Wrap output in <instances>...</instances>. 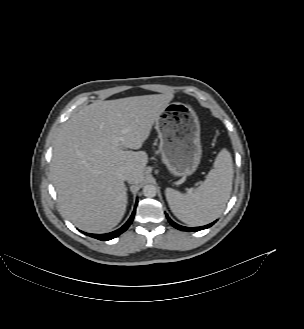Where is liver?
<instances>
[{"mask_svg": "<svg viewBox=\"0 0 304 329\" xmlns=\"http://www.w3.org/2000/svg\"><path fill=\"white\" fill-rule=\"evenodd\" d=\"M174 95L154 94L96 101L65 122L53 144L51 176L60 208L79 229L106 233L123 218L128 171L143 181L148 162L141 149ZM132 149V150H124Z\"/></svg>", "mask_w": 304, "mask_h": 329, "instance_id": "obj_1", "label": "liver"}]
</instances>
